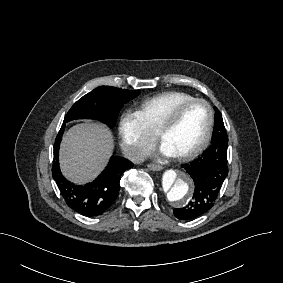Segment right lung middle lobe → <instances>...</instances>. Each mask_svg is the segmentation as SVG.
I'll list each match as a JSON object with an SVG mask.
<instances>
[{
	"mask_svg": "<svg viewBox=\"0 0 283 283\" xmlns=\"http://www.w3.org/2000/svg\"><path fill=\"white\" fill-rule=\"evenodd\" d=\"M140 90H125L111 86H100L79 99L69 110L63 123L74 119H96L115 125L122 106L138 96Z\"/></svg>",
	"mask_w": 283,
	"mask_h": 283,
	"instance_id": "1",
	"label": "right lung middle lobe"
}]
</instances>
